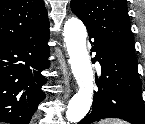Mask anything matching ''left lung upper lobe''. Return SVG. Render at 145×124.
I'll return each mask as SVG.
<instances>
[{"label": "left lung upper lobe", "instance_id": "1", "mask_svg": "<svg viewBox=\"0 0 145 124\" xmlns=\"http://www.w3.org/2000/svg\"><path fill=\"white\" fill-rule=\"evenodd\" d=\"M70 6L89 35L136 58L125 0H72Z\"/></svg>", "mask_w": 145, "mask_h": 124}]
</instances>
